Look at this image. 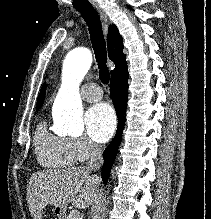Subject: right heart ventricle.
<instances>
[{"label":"right heart ventricle","mask_w":211,"mask_h":219,"mask_svg":"<svg viewBox=\"0 0 211 219\" xmlns=\"http://www.w3.org/2000/svg\"><path fill=\"white\" fill-rule=\"evenodd\" d=\"M34 148L37 161L43 167H67L75 161L65 138L50 132L44 120L38 123L35 130Z\"/></svg>","instance_id":"obj_1"}]
</instances>
